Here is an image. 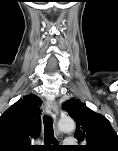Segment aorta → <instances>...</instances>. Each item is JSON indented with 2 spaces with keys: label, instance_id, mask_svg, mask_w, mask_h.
I'll return each mask as SVG.
<instances>
[{
  "label": "aorta",
  "instance_id": "762f6f07",
  "mask_svg": "<svg viewBox=\"0 0 118 151\" xmlns=\"http://www.w3.org/2000/svg\"><path fill=\"white\" fill-rule=\"evenodd\" d=\"M58 127L63 132H72L75 129V122L70 117H64L59 120Z\"/></svg>",
  "mask_w": 118,
  "mask_h": 151
}]
</instances>
